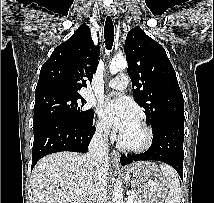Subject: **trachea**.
Here are the masks:
<instances>
[{
  "mask_svg": "<svg viewBox=\"0 0 214 203\" xmlns=\"http://www.w3.org/2000/svg\"><path fill=\"white\" fill-rule=\"evenodd\" d=\"M105 45L108 50H111L114 42V25L110 16H107L104 26Z\"/></svg>",
  "mask_w": 214,
  "mask_h": 203,
  "instance_id": "3493384b",
  "label": "trachea"
}]
</instances>
